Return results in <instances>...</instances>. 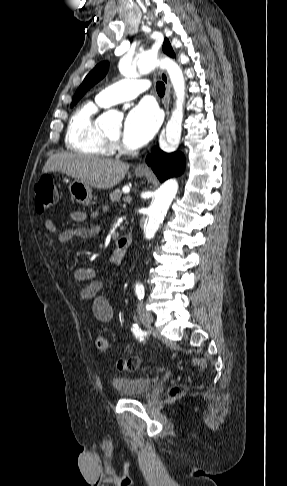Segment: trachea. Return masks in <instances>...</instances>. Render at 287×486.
<instances>
[{"mask_svg":"<svg viewBox=\"0 0 287 486\" xmlns=\"http://www.w3.org/2000/svg\"><path fill=\"white\" fill-rule=\"evenodd\" d=\"M156 91L160 96H163L165 94V85L163 82L156 83Z\"/></svg>","mask_w":287,"mask_h":486,"instance_id":"trachea-1","label":"trachea"}]
</instances>
